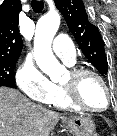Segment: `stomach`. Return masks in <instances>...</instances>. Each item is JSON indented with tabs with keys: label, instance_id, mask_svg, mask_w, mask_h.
<instances>
[{
	"label": "stomach",
	"instance_id": "0dacf381",
	"mask_svg": "<svg viewBox=\"0 0 117 136\" xmlns=\"http://www.w3.org/2000/svg\"><path fill=\"white\" fill-rule=\"evenodd\" d=\"M73 136H95V123L90 117L77 116L63 119Z\"/></svg>",
	"mask_w": 117,
	"mask_h": 136
}]
</instances>
